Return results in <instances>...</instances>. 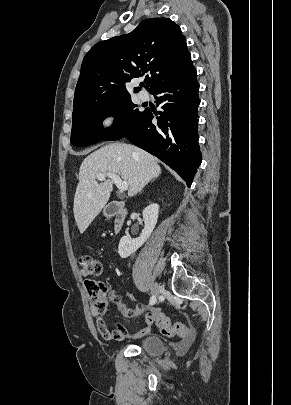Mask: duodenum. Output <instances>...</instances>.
I'll use <instances>...</instances> for the list:
<instances>
[{
  "instance_id": "1",
  "label": "duodenum",
  "mask_w": 291,
  "mask_h": 405,
  "mask_svg": "<svg viewBox=\"0 0 291 405\" xmlns=\"http://www.w3.org/2000/svg\"><path fill=\"white\" fill-rule=\"evenodd\" d=\"M107 213L114 218V230L118 233L125 222L126 209L120 203H112L109 205Z\"/></svg>"
}]
</instances>
